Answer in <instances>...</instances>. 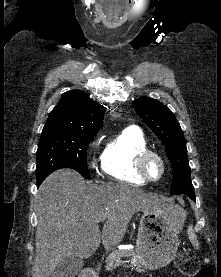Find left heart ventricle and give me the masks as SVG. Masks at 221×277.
Returning a JSON list of instances; mask_svg holds the SVG:
<instances>
[{
	"label": "left heart ventricle",
	"instance_id": "1",
	"mask_svg": "<svg viewBox=\"0 0 221 277\" xmlns=\"http://www.w3.org/2000/svg\"><path fill=\"white\" fill-rule=\"evenodd\" d=\"M147 173L151 178H158L161 173V166L159 162L152 158L147 163Z\"/></svg>",
	"mask_w": 221,
	"mask_h": 277
}]
</instances>
